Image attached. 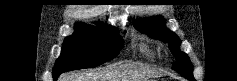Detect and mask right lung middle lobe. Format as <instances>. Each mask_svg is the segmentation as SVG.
<instances>
[{"label":"right lung middle lobe","instance_id":"obj_1","mask_svg":"<svg viewBox=\"0 0 237 81\" xmlns=\"http://www.w3.org/2000/svg\"><path fill=\"white\" fill-rule=\"evenodd\" d=\"M115 28L92 29L89 25L78 23L75 32L68 36L57 59L53 76L63 72L91 68L115 58L123 46Z\"/></svg>","mask_w":237,"mask_h":81}]
</instances>
